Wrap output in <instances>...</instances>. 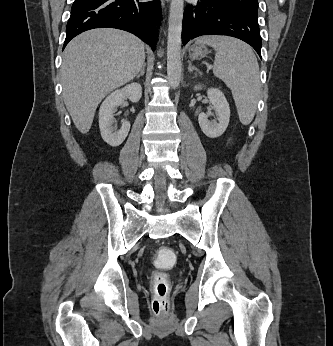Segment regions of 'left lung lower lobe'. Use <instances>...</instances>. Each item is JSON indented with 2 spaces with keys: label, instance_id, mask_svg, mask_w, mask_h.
<instances>
[{
  "label": "left lung lower lobe",
  "instance_id": "left-lung-lower-lobe-1",
  "mask_svg": "<svg viewBox=\"0 0 333 346\" xmlns=\"http://www.w3.org/2000/svg\"><path fill=\"white\" fill-rule=\"evenodd\" d=\"M258 16L234 8L226 0H199L184 11L182 42L201 35H226L251 45L261 57Z\"/></svg>",
  "mask_w": 333,
  "mask_h": 346
}]
</instances>
